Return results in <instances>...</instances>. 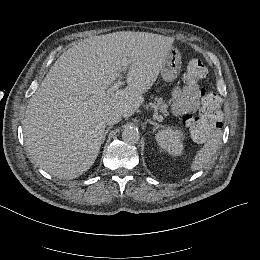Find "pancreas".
Listing matches in <instances>:
<instances>
[{
	"instance_id": "cf45deb5",
	"label": "pancreas",
	"mask_w": 260,
	"mask_h": 260,
	"mask_svg": "<svg viewBox=\"0 0 260 260\" xmlns=\"http://www.w3.org/2000/svg\"><path fill=\"white\" fill-rule=\"evenodd\" d=\"M152 106L158 109L165 117L169 115L168 104L162 97H155Z\"/></svg>"
}]
</instances>
